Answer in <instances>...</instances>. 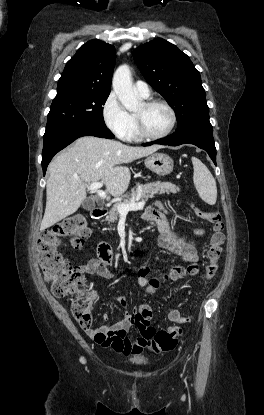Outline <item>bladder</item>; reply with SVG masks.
Masks as SVG:
<instances>
[{
	"label": "bladder",
	"mask_w": 264,
	"mask_h": 415,
	"mask_svg": "<svg viewBox=\"0 0 264 415\" xmlns=\"http://www.w3.org/2000/svg\"><path fill=\"white\" fill-rule=\"evenodd\" d=\"M133 363H136V364H145L146 363V360L145 359H139V360H136V361H134Z\"/></svg>",
	"instance_id": "bladder-1"
}]
</instances>
